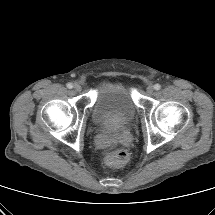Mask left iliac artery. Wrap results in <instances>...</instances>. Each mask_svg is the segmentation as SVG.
<instances>
[{"label": "left iliac artery", "mask_w": 215, "mask_h": 215, "mask_svg": "<svg viewBox=\"0 0 215 215\" xmlns=\"http://www.w3.org/2000/svg\"><path fill=\"white\" fill-rule=\"evenodd\" d=\"M160 88H161L160 84H155V85H154V89H155V90H160Z\"/></svg>", "instance_id": "left-iliac-artery-1"}]
</instances>
